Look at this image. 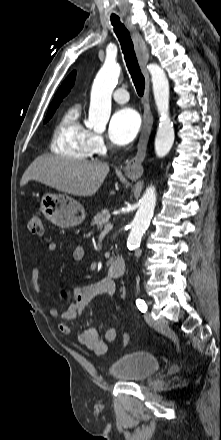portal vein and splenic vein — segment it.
<instances>
[{"label":"portal vein and splenic vein","instance_id":"portal-vein-and-splenic-vein-1","mask_svg":"<svg viewBox=\"0 0 221 440\" xmlns=\"http://www.w3.org/2000/svg\"><path fill=\"white\" fill-rule=\"evenodd\" d=\"M112 228H113V224H111V223H107V224L105 225L104 231H105V232H108V231L112 230Z\"/></svg>","mask_w":221,"mask_h":440}]
</instances>
